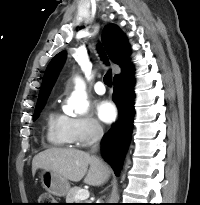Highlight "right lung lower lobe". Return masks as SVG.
I'll use <instances>...</instances> for the list:
<instances>
[{"mask_svg":"<svg viewBox=\"0 0 200 205\" xmlns=\"http://www.w3.org/2000/svg\"><path fill=\"white\" fill-rule=\"evenodd\" d=\"M134 69L131 66L114 77L113 101L119 110V120L105 135L102 142V156L119 175L120 167L128 149L134 116Z\"/></svg>","mask_w":200,"mask_h":205,"instance_id":"1","label":"right lung lower lobe"}]
</instances>
